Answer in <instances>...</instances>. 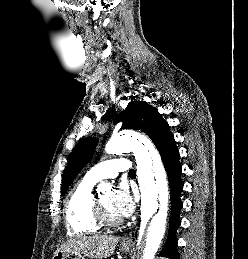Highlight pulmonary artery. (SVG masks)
<instances>
[{
	"label": "pulmonary artery",
	"instance_id": "obj_1",
	"mask_svg": "<svg viewBox=\"0 0 248 259\" xmlns=\"http://www.w3.org/2000/svg\"><path fill=\"white\" fill-rule=\"evenodd\" d=\"M131 162L126 158H118L99 163L92 167L85 175L86 178L98 182L106 178H115L121 172H129Z\"/></svg>",
	"mask_w": 248,
	"mask_h": 259
}]
</instances>
